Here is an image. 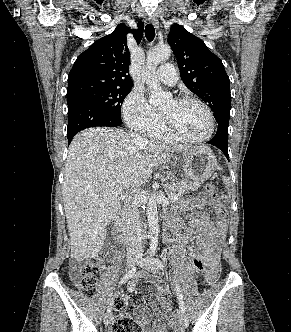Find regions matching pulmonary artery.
<instances>
[{"label": "pulmonary artery", "mask_w": 291, "mask_h": 332, "mask_svg": "<svg viewBox=\"0 0 291 332\" xmlns=\"http://www.w3.org/2000/svg\"><path fill=\"white\" fill-rule=\"evenodd\" d=\"M156 76L161 82L167 85H175L178 81L176 69L170 63L160 66L156 72Z\"/></svg>", "instance_id": "e3ab8cb5"}]
</instances>
